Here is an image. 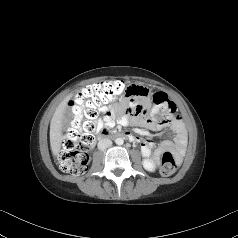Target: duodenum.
Listing matches in <instances>:
<instances>
[{
  "label": "duodenum",
  "instance_id": "1",
  "mask_svg": "<svg viewBox=\"0 0 238 238\" xmlns=\"http://www.w3.org/2000/svg\"><path fill=\"white\" fill-rule=\"evenodd\" d=\"M103 133L108 134L107 131H104ZM116 136L125 137L133 142L138 141V138L131 133H117Z\"/></svg>",
  "mask_w": 238,
  "mask_h": 238
}]
</instances>
